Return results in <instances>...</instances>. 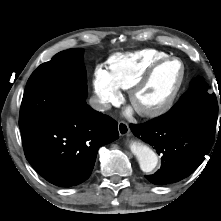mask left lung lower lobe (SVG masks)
Returning a JSON list of instances; mask_svg holds the SVG:
<instances>
[{
    "instance_id": "0a47b994",
    "label": "left lung lower lobe",
    "mask_w": 221,
    "mask_h": 221,
    "mask_svg": "<svg viewBox=\"0 0 221 221\" xmlns=\"http://www.w3.org/2000/svg\"><path fill=\"white\" fill-rule=\"evenodd\" d=\"M217 120L162 121L157 117L144 124H131L134 135L154 146L162 156L161 168L145 177L157 185L178 182L204 161L213 145ZM221 122L218 136L221 134Z\"/></svg>"
}]
</instances>
